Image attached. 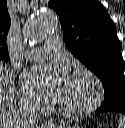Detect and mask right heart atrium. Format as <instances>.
<instances>
[{"label": "right heart atrium", "mask_w": 125, "mask_h": 128, "mask_svg": "<svg viewBox=\"0 0 125 128\" xmlns=\"http://www.w3.org/2000/svg\"><path fill=\"white\" fill-rule=\"evenodd\" d=\"M19 101L23 107L31 109L37 107V102L27 94L21 93L19 95Z\"/></svg>", "instance_id": "obj_1"}]
</instances>
